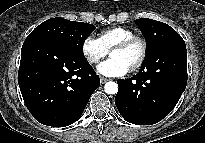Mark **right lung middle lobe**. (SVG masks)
<instances>
[{"label":"right lung middle lobe","instance_id":"dd1d6c3e","mask_svg":"<svg viewBox=\"0 0 205 143\" xmlns=\"http://www.w3.org/2000/svg\"><path fill=\"white\" fill-rule=\"evenodd\" d=\"M94 29L92 24L57 17L44 21L31 34L50 37L83 55L84 41Z\"/></svg>","mask_w":205,"mask_h":143}]
</instances>
